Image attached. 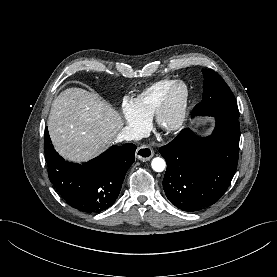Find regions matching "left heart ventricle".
I'll list each match as a JSON object with an SVG mask.
<instances>
[{
  "mask_svg": "<svg viewBox=\"0 0 277 277\" xmlns=\"http://www.w3.org/2000/svg\"><path fill=\"white\" fill-rule=\"evenodd\" d=\"M178 97H179V94L176 95V97H175V99H174V104L177 102ZM172 117H173V109H171V110L169 111V113L167 114L166 120H167V121H170V120L172 119Z\"/></svg>",
  "mask_w": 277,
  "mask_h": 277,
  "instance_id": "1",
  "label": "left heart ventricle"
}]
</instances>
